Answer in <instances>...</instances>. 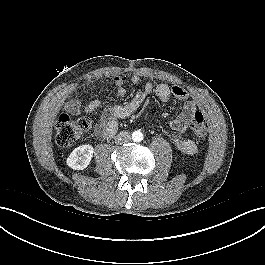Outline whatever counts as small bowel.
Segmentation results:
<instances>
[{"label": "small bowel", "instance_id": "c3829d8e", "mask_svg": "<svg viewBox=\"0 0 265 265\" xmlns=\"http://www.w3.org/2000/svg\"><path fill=\"white\" fill-rule=\"evenodd\" d=\"M131 82L135 86H140V89L128 102L115 105L102 113L100 122L96 126L97 136L105 139L113 137L118 128V121L137 111L151 94L154 93L163 102L168 101L173 96L183 102L181 112L170 121V126L175 133L173 143L180 152L186 155H194L197 152V145L186 135V130L194 113L198 111V103L195 100H188L186 89L178 85L171 86L166 83L154 85L151 81L142 84V79L138 74H134L131 77ZM113 83L116 86L118 95H125L126 88L122 78L119 76L113 77ZM72 93V89L66 92L69 96ZM100 106L101 101L94 99L84 107V111L91 113L96 111ZM65 108L72 115H77L81 112L80 101L76 98H70L66 102Z\"/></svg>", "mask_w": 265, "mask_h": 265}]
</instances>
